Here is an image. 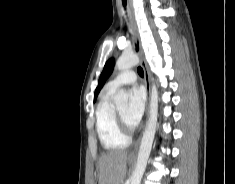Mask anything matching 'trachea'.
I'll return each mask as SVG.
<instances>
[{"mask_svg": "<svg viewBox=\"0 0 235 184\" xmlns=\"http://www.w3.org/2000/svg\"><path fill=\"white\" fill-rule=\"evenodd\" d=\"M122 1H123V5L125 7L126 6V0H122ZM137 72L140 75V77L144 76V72H143V69L141 67H138Z\"/></svg>", "mask_w": 235, "mask_h": 184, "instance_id": "3493384b", "label": "trachea"}]
</instances>
